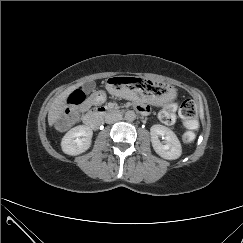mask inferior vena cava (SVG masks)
<instances>
[{"label": "inferior vena cava", "instance_id": "1", "mask_svg": "<svg viewBox=\"0 0 243 243\" xmlns=\"http://www.w3.org/2000/svg\"><path fill=\"white\" fill-rule=\"evenodd\" d=\"M121 119H122V115L117 112H111V113L106 114V116H105V122L107 124L115 123Z\"/></svg>", "mask_w": 243, "mask_h": 243}]
</instances>
